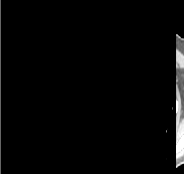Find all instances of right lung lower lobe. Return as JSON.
Listing matches in <instances>:
<instances>
[{
    "instance_id": "98d812e1",
    "label": "right lung lower lobe",
    "mask_w": 184,
    "mask_h": 174,
    "mask_svg": "<svg viewBox=\"0 0 184 174\" xmlns=\"http://www.w3.org/2000/svg\"><path fill=\"white\" fill-rule=\"evenodd\" d=\"M79 127V120L76 118L54 134L35 138L44 147L52 150H63L72 145L75 141Z\"/></svg>"
}]
</instances>
